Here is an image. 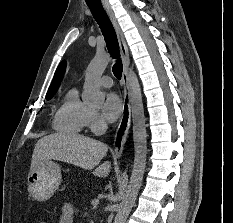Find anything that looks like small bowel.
Segmentation results:
<instances>
[{"instance_id": "c3829d8e", "label": "small bowel", "mask_w": 233, "mask_h": 223, "mask_svg": "<svg viewBox=\"0 0 233 223\" xmlns=\"http://www.w3.org/2000/svg\"><path fill=\"white\" fill-rule=\"evenodd\" d=\"M75 209L69 202L63 204L61 213L58 218V223H73Z\"/></svg>"}]
</instances>
